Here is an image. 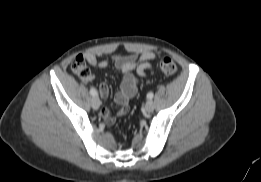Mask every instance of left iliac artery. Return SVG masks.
<instances>
[{
  "instance_id": "obj_1",
  "label": "left iliac artery",
  "mask_w": 261,
  "mask_h": 182,
  "mask_svg": "<svg viewBox=\"0 0 261 182\" xmlns=\"http://www.w3.org/2000/svg\"><path fill=\"white\" fill-rule=\"evenodd\" d=\"M153 96H154V94H153L152 92H149V93L147 94V98H148V99H152Z\"/></svg>"
}]
</instances>
